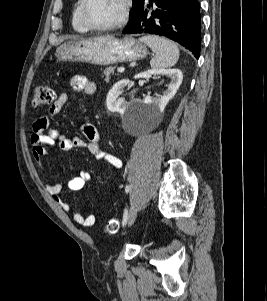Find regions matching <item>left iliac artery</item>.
I'll return each instance as SVG.
<instances>
[{"mask_svg": "<svg viewBox=\"0 0 267 301\" xmlns=\"http://www.w3.org/2000/svg\"><path fill=\"white\" fill-rule=\"evenodd\" d=\"M130 190H131V186H130V185H127V186L125 187L126 193H128ZM127 219H128V212H127V210L125 209L124 215H123V221H122V224H123V225H125V224L127 223Z\"/></svg>", "mask_w": 267, "mask_h": 301, "instance_id": "1", "label": "left iliac artery"}]
</instances>
